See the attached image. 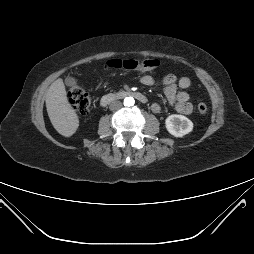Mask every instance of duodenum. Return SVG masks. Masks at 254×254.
Wrapping results in <instances>:
<instances>
[{
	"instance_id": "duodenum-1",
	"label": "duodenum",
	"mask_w": 254,
	"mask_h": 254,
	"mask_svg": "<svg viewBox=\"0 0 254 254\" xmlns=\"http://www.w3.org/2000/svg\"><path fill=\"white\" fill-rule=\"evenodd\" d=\"M133 97L137 99L138 101L142 103L147 102V98L144 94L138 92V91H131V90H124V91H118V92H113V93H108L102 96L100 103L102 106H107L113 101L123 99L125 97Z\"/></svg>"
}]
</instances>
